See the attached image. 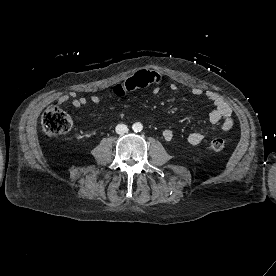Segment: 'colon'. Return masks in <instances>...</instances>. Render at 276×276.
<instances>
[{
  "label": "colon",
  "instance_id": "5ec220e1",
  "mask_svg": "<svg viewBox=\"0 0 276 276\" xmlns=\"http://www.w3.org/2000/svg\"><path fill=\"white\" fill-rule=\"evenodd\" d=\"M42 130L48 137H55L68 132L72 127L70 116L57 106L48 107L42 116ZM208 148L212 152H221L225 148V141L222 138H214Z\"/></svg>",
  "mask_w": 276,
  "mask_h": 276
}]
</instances>
